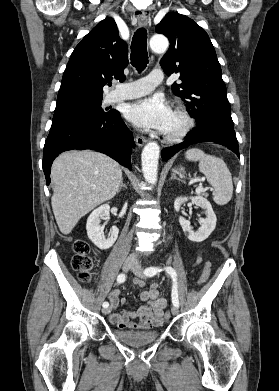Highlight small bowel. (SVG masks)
<instances>
[{
  "instance_id": "1",
  "label": "small bowel",
  "mask_w": 279,
  "mask_h": 391,
  "mask_svg": "<svg viewBox=\"0 0 279 391\" xmlns=\"http://www.w3.org/2000/svg\"><path fill=\"white\" fill-rule=\"evenodd\" d=\"M202 260L199 256L196 263H200ZM134 284L138 287H144L145 282L139 279L134 281ZM119 289H114L109 295V300L113 310H116L118 306L125 304V299L119 297ZM142 300L146 302L136 309L129 310L127 308L121 309L118 312H112L109 316V320L112 324L120 329H150L160 326L163 321L164 309L167 306V300L159 295L156 285H152L149 289L145 290L141 294ZM133 319H138L139 322H133Z\"/></svg>"
}]
</instances>
